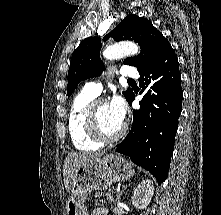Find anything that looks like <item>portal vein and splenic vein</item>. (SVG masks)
Here are the masks:
<instances>
[{"label": "portal vein and splenic vein", "instance_id": "1", "mask_svg": "<svg viewBox=\"0 0 221 215\" xmlns=\"http://www.w3.org/2000/svg\"><path fill=\"white\" fill-rule=\"evenodd\" d=\"M107 199H110V200H112V197H111V196H109V197H107Z\"/></svg>", "mask_w": 221, "mask_h": 215}]
</instances>
